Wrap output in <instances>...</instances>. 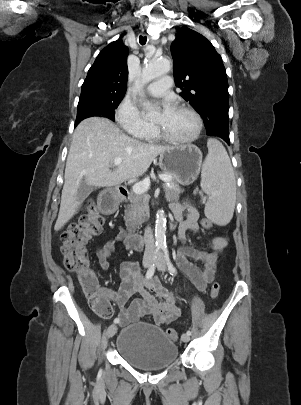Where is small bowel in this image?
<instances>
[{"mask_svg":"<svg viewBox=\"0 0 301 405\" xmlns=\"http://www.w3.org/2000/svg\"><path fill=\"white\" fill-rule=\"evenodd\" d=\"M173 218L179 222L178 236L186 242L187 231L198 232V210L187 202H173L170 205ZM126 237L123 228L118 229L115 239L106 241L96 251L102 269L110 267L109 257L115 250V244ZM227 246V239L215 237L210 252L200 251L188 245L177 250L176 262L198 290L204 291L214 281L218 266V253ZM121 286L119 289L103 288L102 294L107 301L118 308V318L122 326L135 322L142 317H151L157 324H170L176 320L181 309L175 291L164 288L157 276L141 282L139 267L134 261H125L120 266ZM139 295L134 298L133 296Z\"/></svg>","mask_w":301,"mask_h":405,"instance_id":"obj_1","label":"small bowel"}]
</instances>
